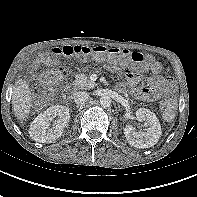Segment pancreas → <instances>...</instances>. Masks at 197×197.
I'll return each mask as SVG.
<instances>
[{"mask_svg": "<svg viewBox=\"0 0 197 197\" xmlns=\"http://www.w3.org/2000/svg\"><path fill=\"white\" fill-rule=\"evenodd\" d=\"M74 89H91L96 86V83L91 81L84 74H77L75 80L72 83Z\"/></svg>", "mask_w": 197, "mask_h": 197, "instance_id": "cf45deb5", "label": "pancreas"}]
</instances>
